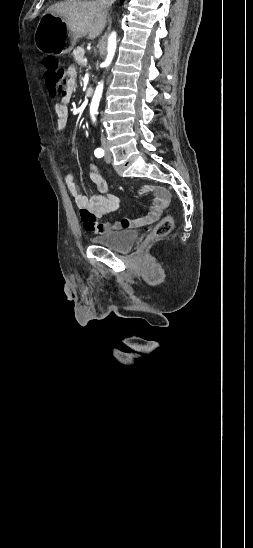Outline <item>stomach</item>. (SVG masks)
Segmentation results:
<instances>
[{
	"label": "stomach",
	"mask_w": 253,
	"mask_h": 548,
	"mask_svg": "<svg viewBox=\"0 0 253 548\" xmlns=\"http://www.w3.org/2000/svg\"><path fill=\"white\" fill-rule=\"evenodd\" d=\"M34 42L40 52L61 56L70 53L76 40L71 36L62 18L44 14L37 25Z\"/></svg>",
	"instance_id": "obj_1"
}]
</instances>
